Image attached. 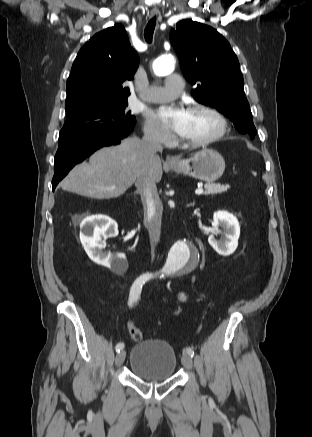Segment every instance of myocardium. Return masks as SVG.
Wrapping results in <instances>:
<instances>
[{"mask_svg":"<svg viewBox=\"0 0 312 437\" xmlns=\"http://www.w3.org/2000/svg\"><path fill=\"white\" fill-rule=\"evenodd\" d=\"M192 112L205 113L215 118L217 121V129L208 137H205L200 140H185L181 138L180 139L181 144L192 146V147L206 146L219 140L225 135L228 129V120L221 111L209 105L198 104L193 106Z\"/></svg>","mask_w":312,"mask_h":437,"instance_id":"1","label":"myocardium"}]
</instances>
